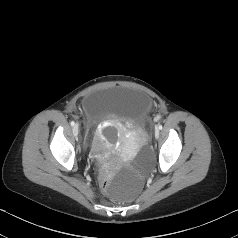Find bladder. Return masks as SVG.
<instances>
[{"label": "bladder", "instance_id": "1", "mask_svg": "<svg viewBox=\"0 0 238 238\" xmlns=\"http://www.w3.org/2000/svg\"><path fill=\"white\" fill-rule=\"evenodd\" d=\"M150 98L138 91L113 87L96 92L84 104V120L97 123L107 119L126 121L139 127L138 120L150 114ZM140 128V127H139Z\"/></svg>", "mask_w": 238, "mask_h": 238}]
</instances>
